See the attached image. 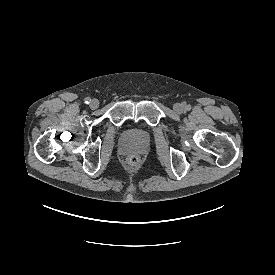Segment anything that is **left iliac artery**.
Segmentation results:
<instances>
[{
    "mask_svg": "<svg viewBox=\"0 0 275 275\" xmlns=\"http://www.w3.org/2000/svg\"><path fill=\"white\" fill-rule=\"evenodd\" d=\"M183 105H184L185 107H187V108L189 107V106L186 104V102H184Z\"/></svg>",
    "mask_w": 275,
    "mask_h": 275,
    "instance_id": "44dca946",
    "label": "left iliac artery"
}]
</instances>
